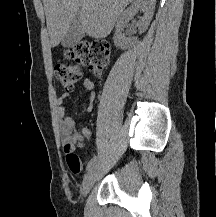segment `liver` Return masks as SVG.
Masks as SVG:
<instances>
[{
	"label": "liver",
	"mask_w": 216,
	"mask_h": 217,
	"mask_svg": "<svg viewBox=\"0 0 216 217\" xmlns=\"http://www.w3.org/2000/svg\"><path fill=\"white\" fill-rule=\"evenodd\" d=\"M132 0H43L51 46H57L78 15L84 34L96 39L110 34Z\"/></svg>",
	"instance_id": "liver-1"
}]
</instances>
